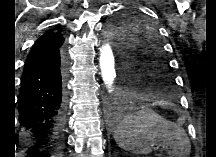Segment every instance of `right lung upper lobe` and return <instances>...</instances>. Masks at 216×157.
Wrapping results in <instances>:
<instances>
[{"instance_id":"obj_1","label":"right lung upper lobe","mask_w":216,"mask_h":157,"mask_svg":"<svg viewBox=\"0 0 216 157\" xmlns=\"http://www.w3.org/2000/svg\"><path fill=\"white\" fill-rule=\"evenodd\" d=\"M63 42L64 38L59 31L54 32L52 29L48 30L35 42L27 57L24 68L58 52Z\"/></svg>"}]
</instances>
